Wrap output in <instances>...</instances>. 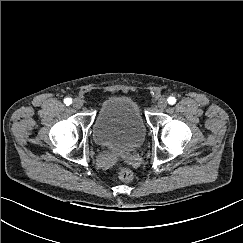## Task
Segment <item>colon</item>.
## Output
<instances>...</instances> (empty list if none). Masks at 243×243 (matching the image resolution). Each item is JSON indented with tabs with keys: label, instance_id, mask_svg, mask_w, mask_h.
Wrapping results in <instances>:
<instances>
[{
	"label": "colon",
	"instance_id": "obj_1",
	"mask_svg": "<svg viewBox=\"0 0 243 243\" xmlns=\"http://www.w3.org/2000/svg\"><path fill=\"white\" fill-rule=\"evenodd\" d=\"M118 175L125 182H130L134 178L133 172L129 168L121 165L118 166Z\"/></svg>",
	"mask_w": 243,
	"mask_h": 243
}]
</instances>
